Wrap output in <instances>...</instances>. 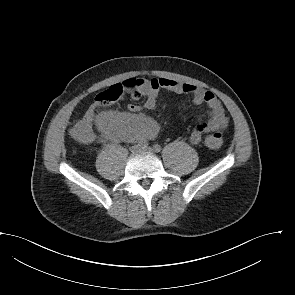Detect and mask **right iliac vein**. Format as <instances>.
<instances>
[{
    "instance_id": "1",
    "label": "right iliac vein",
    "mask_w": 295,
    "mask_h": 295,
    "mask_svg": "<svg viewBox=\"0 0 295 295\" xmlns=\"http://www.w3.org/2000/svg\"><path fill=\"white\" fill-rule=\"evenodd\" d=\"M139 150H140V147L138 145H133L130 147V151L132 153H137V152H139Z\"/></svg>"
}]
</instances>
